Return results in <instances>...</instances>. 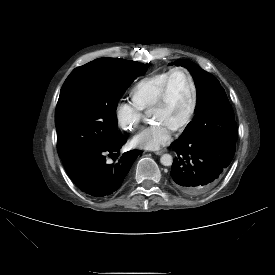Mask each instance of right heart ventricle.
I'll return each instance as SVG.
<instances>
[{
    "label": "right heart ventricle",
    "mask_w": 275,
    "mask_h": 275,
    "mask_svg": "<svg viewBox=\"0 0 275 275\" xmlns=\"http://www.w3.org/2000/svg\"><path fill=\"white\" fill-rule=\"evenodd\" d=\"M169 71L163 70L140 79L131 90L133 103L143 111L151 109Z\"/></svg>",
    "instance_id": "obj_1"
}]
</instances>
